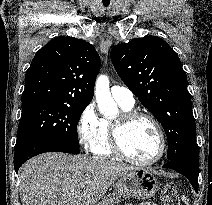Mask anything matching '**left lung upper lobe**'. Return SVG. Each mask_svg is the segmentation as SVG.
I'll use <instances>...</instances> for the list:
<instances>
[{"label":"left lung upper lobe","instance_id":"left-lung-upper-lobe-1","mask_svg":"<svg viewBox=\"0 0 212 205\" xmlns=\"http://www.w3.org/2000/svg\"><path fill=\"white\" fill-rule=\"evenodd\" d=\"M110 56L126 86L163 126L167 159L196 149L192 103L178 54L163 39L145 36L114 46Z\"/></svg>","mask_w":212,"mask_h":205}]
</instances>
